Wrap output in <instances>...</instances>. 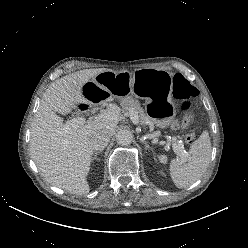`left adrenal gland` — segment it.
<instances>
[{
    "instance_id": "1",
    "label": "left adrenal gland",
    "mask_w": 248,
    "mask_h": 248,
    "mask_svg": "<svg viewBox=\"0 0 248 248\" xmlns=\"http://www.w3.org/2000/svg\"><path fill=\"white\" fill-rule=\"evenodd\" d=\"M143 143H144L146 149H150L151 150V147L146 142H143Z\"/></svg>"
}]
</instances>
